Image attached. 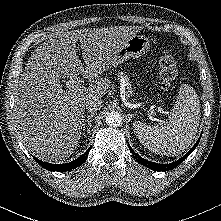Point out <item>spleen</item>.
<instances>
[{"label":"spleen","mask_w":221,"mask_h":221,"mask_svg":"<svg viewBox=\"0 0 221 221\" xmlns=\"http://www.w3.org/2000/svg\"><path fill=\"white\" fill-rule=\"evenodd\" d=\"M200 120V102L193 87L183 84L168 121L150 126L134 122V132L150 151L175 156L193 142Z\"/></svg>","instance_id":"1"}]
</instances>
